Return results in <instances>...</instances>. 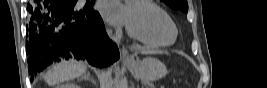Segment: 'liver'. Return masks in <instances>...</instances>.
Here are the masks:
<instances>
[{"label":"liver","mask_w":267,"mask_h":88,"mask_svg":"<svg viewBox=\"0 0 267 88\" xmlns=\"http://www.w3.org/2000/svg\"><path fill=\"white\" fill-rule=\"evenodd\" d=\"M142 54L160 53L158 51L142 50ZM86 66L72 61H64L54 65L44 76V80L50 86H54L65 81L72 80L83 75Z\"/></svg>","instance_id":"liver-1"}]
</instances>
